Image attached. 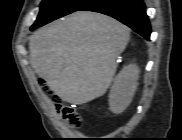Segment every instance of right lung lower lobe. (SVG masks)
I'll use <instances>...</instances> for the list:
<instances>
[{
    "mask_svg": "<svg viewBox=\"0 0 182 140\" xmlns=\"http://www.w3.org/2000/svg\"><path fill=\"white\" fill-rule=\"evenodd\" d=\"M79 10L109 15L132 28L145 39L150 38V22L142 0H91Z\"/></svg>",
    "mask_w": 182,
    "mask_h": 140,
    "instance_id": "98d812e1",
    "label": "right lung lower lobe"
}]
</instances>
